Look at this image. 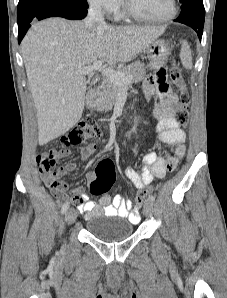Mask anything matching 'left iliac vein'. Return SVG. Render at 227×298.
<instances>
[{"label":"left iliac vein","instance_id":"obj_1","mask_svg":"<svg viewBox=\"0 0 227 298\" xmlns=\"http://www.w3.org/2000/svg\"><path fill=\"white\" fill-rule=\"evenodd\" d=\"M143 213L145 216L150 217L153 213V202L147 200L144 204Z\"/></svg>","mask_w":227,"mask_h":298}]
</instances>
